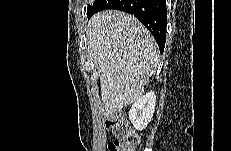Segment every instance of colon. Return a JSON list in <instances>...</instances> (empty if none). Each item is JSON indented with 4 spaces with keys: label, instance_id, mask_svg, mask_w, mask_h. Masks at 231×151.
<instances>
[{
    "label": "colon",
    "instance_id": "5ec220e1",
    "mask_svg": "<svg viewBox=\"0 0 231 151\" xmlns=\"http://www.w3.org/2000/svg\"><path fill=\"white\" fill-rule=\"evenodd\" d=\"M106 125L115 137L114 140L108 144V151H134L139 139L133 128L126 121L122 112L115 111L111 113Z\"/></svg>",
    "mask_w": 231,
    "mask_h": 151
}]
</instances>
